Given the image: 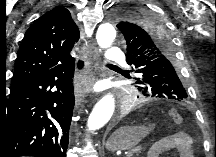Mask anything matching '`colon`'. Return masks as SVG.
<instances>
[{"label": "colon", "instance_id": "5ec220e1", "mask_svg": "<svg viewBox=\"0 0 216 157\" xmlns=\"http://www.w3.org/2000/svg\"><path fill=\"white\" fill-rule=\"evenodd\" d=\"M169 116L175 124H181L183 122V117L177 109H170Z\"/></svg>", "mask_w": 216, "mask_h": 157}]
</instances>
